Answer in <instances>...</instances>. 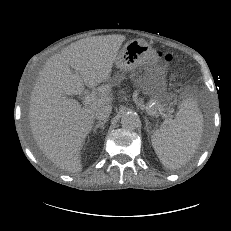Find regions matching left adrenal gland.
<instances>
[{"label": "left adrenal gland", "instance_id": "1", "mask_svg": "<svg viewBox=\"0 0 231 231\" xmlns=\"http://www.w3.org/2000/svg\"><path fill=\"white\" fill-rule=\"evenodd\" d=\"M149 128H150L149 121L146 118V129H147V132H150Z\"/></svg>", "mask_w": 231, "mask_h": 231}]
</instances>
